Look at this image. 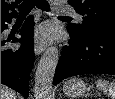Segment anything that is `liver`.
<instances>
[{"label": "liver", "mask_w": 115, "mask_h": 99, "mask_svg": "<svg viewBox=\"0 0 115 99\" xmlns=\"http://www.w3.org/2000/svg\"><path fill=\"white\" fill-rule=\"evenodd\" d=\"M1 99H17V96L14 91L4 85H1Z\"/></svg>", "instance_id": "liver-1"}]
</instances>
